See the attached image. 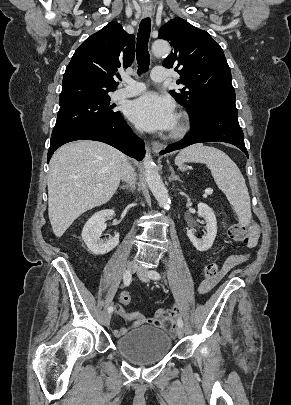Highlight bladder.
Wrapping results in <instances>:
<instances>
[{
  "instance_id": "obj_1",
  "label": "bladder",
  "mask_w": 291,
  "mask_h": 405,
  "mask_svg": "<svg viewBox=\"0 0 291 405\" xmlns=\"http://www.w3.org/2000/svg\"><path fill=\"white\" fill-rule=\"evenodd\" d=\"M115 348L128 362L149 366L163 360L171 350V339L163 330L139 326L115 340Z\"/></svg>"
}]
</instances>
